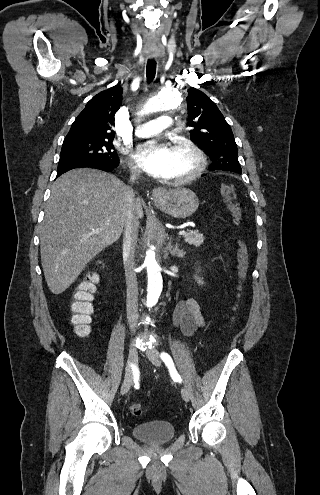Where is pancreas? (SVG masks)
I'll list each match as a JSON object with an SVG mask.
<instances>
[{"label":"pancreas","mask_w":320,"mask_h":495,"mask_svg":"<svg viewBox=\"0 0 320 495\" xmlns=\"http://www.w3.org/2000/svg\"><path fill=\"white\" fill-rule=\"evenodd\" d=\"M185 242L199 247L204 242V237L198 230H189L185 235Z\"/></svg>","instance_id":"pancreas-1"}]
</instances>
